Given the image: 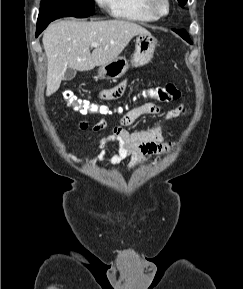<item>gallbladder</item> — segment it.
Returning <instances> with one entry per match:
<instances>
[{
  "instance_id": "obj_1",
  "label": "gallbladder",
  "mask_w": 243,
  "mask_h": 289,
  "mask_svg": "<svg viewBox=\"0 0 243 289\" xmlns=\"http://www.w3.org/2000/svg\"><path fill=\"white\" fill-rule=\"evenodd\" d=\"M76 75V70L72 68H67L65 74H64V80L71 81Z\"/></svg>"
}]
</instances>
